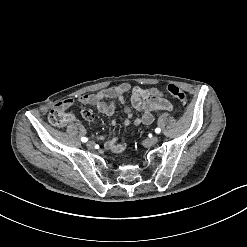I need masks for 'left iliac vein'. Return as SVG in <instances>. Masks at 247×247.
<instances>
[{"instance_id": "left-iliac-vein-1", "label": "left iliac vein", "mask_w": 247, "mask_h": 247, "mask_svg": "<svg viewBox=\"0 0 247 247\" xmlns=\"http://www.w3.org/2000/svg\"><path fill=\"white\" fill-rule=\"evenodd\" d=\"M157 142H158V136H153L150 139L144 140L143 144L146 147H149V146H152V145L156 144Z\"/></svg>"}]
</instances>
